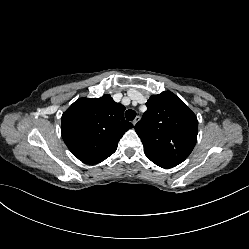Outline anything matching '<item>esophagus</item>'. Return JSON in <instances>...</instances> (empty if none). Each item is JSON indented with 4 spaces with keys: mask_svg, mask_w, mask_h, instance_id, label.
Masks as SVG:
<instances>
[{
    "mask_svg": "<svg viewBox=\"0 0 249 249\" xmlns=\"http://www.w3.org/2000/svg\"><path fill=\"white\" fill-rule=\"evenodd\" d=\"M139 120H140V117L137 116V117L133 120V125L135 126Z\"/></svg>",
    "mask_w": 249,
    "mask_h": 249,
    "instance_id": "34e87169",
    "label": "esophagus"
}]
</instances>
